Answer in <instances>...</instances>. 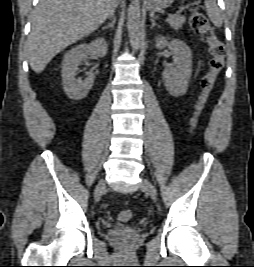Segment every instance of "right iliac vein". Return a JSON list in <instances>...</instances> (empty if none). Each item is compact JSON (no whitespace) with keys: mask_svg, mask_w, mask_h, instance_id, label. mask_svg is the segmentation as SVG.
I'll return each mask as SVG.
<instances>
[{"mask_svg":"<svg viewBox=\"0 0 254 267\" xmlns=\"http://www.w3.org/2000/svg\"><path fill=\"white\" fill-rule=\"evenodd\" d=\"M105 189H106V182L102 180L98 183V185L96 186V189H95L94 196H95L96 201L100 200L101 195L105 191Z\"/></svg>","mask_w":254,"mask_h":267,"instance_id":"1","label":"right iliac vein"}]
</instances>
